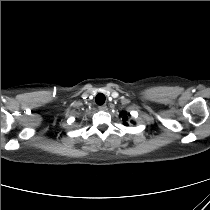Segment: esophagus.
Listing matches in <instances>:
<instances>
[{
	"instance_id": "34e87169",
	"label": "esophagus",
	"mask_w": 210,
	"mask_h": 210,
	"mask_svg": "<svg viewBox=\"0 0 210 210\" xmlns=\"http://www.w3.org/2000/svg\"><path fill=\"white\" fill-rule=\"evenodd\" d=\"M107 109V106L106 105H101V106H99V110H106Z\"/></svg>"
}]
</instances>
